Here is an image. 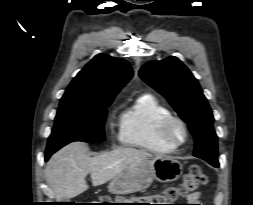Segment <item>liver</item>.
I'll return each mask as SVG.
<instances>
[{
    "mask_svg": "<svg viewBox=\"0 0 253 205\" xmlns=\"http://www.w3.org/2000/svg\"><path fill=\"white\" fill-rule=\"evenodd\" d=\"M83 142H73L56 152L45 167V176L56 200L74 198L85 192L90 173L93 186L102 185L123 172L133 162L152 157L145 150L118 148L94 157Z\"/></svg>",
    "mask_w": 253,
    "mask_h": 205,
    "instance_id": "1",
    "label": "liver"
}]
</instances>
